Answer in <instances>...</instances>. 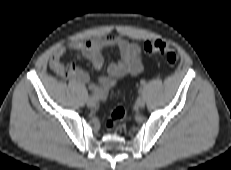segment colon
I'll return each instance as SVG.
<instances>
[{
  "instance_id": "colon-1",
  "label": "colon",
  "mask_w": 231,
  "mask_h": 170,
  "mask_svg": "<svg viewBox=\"0 0 231 170\" xmlns=\"http://www.w3.org/2000/svg\"><path fill=\"white\" fill-rule=\"evenodd\" d=\"M144 50L148 54L161 55L166 59V62L170 66H174L178 59V52L172 48L169 44L162 40H150L144 44ZM69 68L58 72L60 76H67ZM127 117V110L124 107H117L112 112L110 118L106 122V128L113 130L120 122Z\"/></svg>"
}]
</instances>
